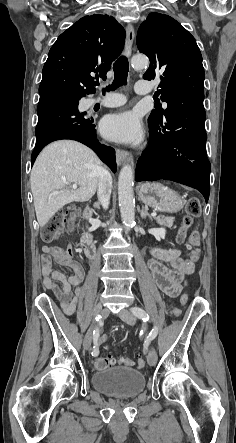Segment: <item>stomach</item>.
I'll return each mask as SVG.
<instances>
[{
    "instance_id": "1",
    "label": "stomach",
    "mask_w": 236,
    "mask_h": 443,
    "mask_svg": "<svg viewBox=\"0 0 236 443\" xmlns=\"http://www.w3.org/2000/svg\"><path fill=\"white\" fill-rule=\"evenodd\" d=\"M138 193L144 204L160 212H178L184 205L177 192L157 182L142 184Z\"/></svg>"
}]
</instances>
